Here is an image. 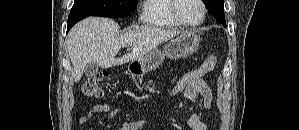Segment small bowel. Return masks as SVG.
Here are the masks:
<instances>
[{
  "instance_id": "1",
  "label": "small bowel",
  "mask_w": 299,
  "mask_h": 130,
  "mask_svg": "<svg viewBox=\"0 0 299 130\" xmlns=\"http://www.w3.org/2000/svg\"><path fill=\"white\" fill-rule=\"evenodd\" d=\"M176 79V78H175ZM174 79V80H175ZM184 99L189 103H194L197 96L200 95L205 108L209 109L212 104V91L207 83L202 80L196 84L189 86L184 92ZM96 114H105L108 120L120 114L119 109H111L108 104H97L90 109L87 114L81 117L80 122L86 123L93 119ZM187 124L193 130H207V124L201 119L196 112H191L187 117ZM147 121L126 122L116 130H141L150 127Z\"/></svg>"
}]
</instances>
